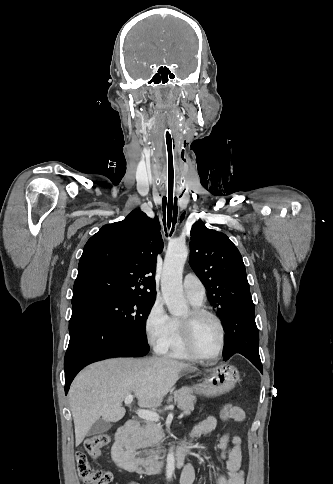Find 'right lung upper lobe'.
<instances>
[{
	"label": "right lung upper lobe",
	"instance_id": "1",
	"mask_svg": "<svg viewBox=\"0 0 333 484\" xmlns=\"http://www.w3.org/2000/svg\"><path fill=\"white\" fill-rule=\"evenodd\" d=\"M163 249L160 224L141 210L104 225L84 246L72 303L92 293L155 298V265Z\"/></svg>",
	"mask_w": 333,
	"mask_h": 484
}]
</instances>
